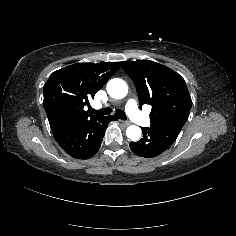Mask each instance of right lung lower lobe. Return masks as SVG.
Here are the masks:
<instances>
[{
    "mask_svg": "<svg viewBox=\"0 0 236 236\" xmlns=\"http://www.w3.org/2000/svg\"><path fill=\"white\" fill-rule=\"evenodd\" d=\"M117 120L113 115L98 116L82 122L67 124L53 131L60 147L71 157L88 159L99 150L104 132L110 121Z\"/></svg>",
    "mask_w": 236,
    "mask_h": 236,
    "instance_id": "1",
    "label": "right lung lower lobe"
}]
</instances>
